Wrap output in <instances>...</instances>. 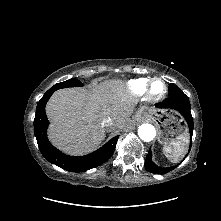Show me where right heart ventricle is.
<instances>
[{
    "mask_svg": "<svg viewBox=\"0 0 221 221\" xmlns=\"http://www.w3.org/2000/svg\"><path fill=\"white\" fill-rule=\"evenodd\" d=\"M148 82H149L148 78H139V79L130 80L127 83L126 90L130 95L134 96L142 95L146 90Z\"/></svg>",
    "mask_w": 221,
    "mask_h": 221,
    "instance_id": "obj_1",
    "label": "right heart ventricle"
}]
</instances>
